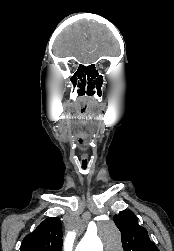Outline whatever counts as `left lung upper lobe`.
<instances>
[{"mask_svg": "<svg viewBox=\"0 0 174 251\" xmlns=\"http://www.w3.org/2000/svg\"><path fill=\"white\" fill-rule=\"evenodd\" d=\"M113 219L121 232L124 251H159L150 240L147 230L138 224L133 212L123 210Z\"/></svg>", "mask_w": 174, "mask_h": 251, "instance_id": "left-lung-upper-lobe-1", "label": "left lung upper lobe"}]
</instances>
